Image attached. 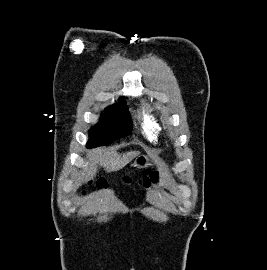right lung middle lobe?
I'll use <instances>...</instances> for the list:
<instances>
[{"instance_id":"right-lung-middle-lobe-1","label":"right lung middle lobe","mask_w":267,"mask_h":270,"mask_svg":"<svg viewBox=\"0 0 267 270\" xmlns=\"http://www.w3.org/2000/svg\"><path fill=\"white\" fill-rule=\"evenodd\" d=\"M123 99L121 97L116 104L107 107L100 122L91 128L89 131L90 140L87 143L88 148L107 145L119 137H126L130 134L132 122Z\"/></svg>"}]
</instances>
